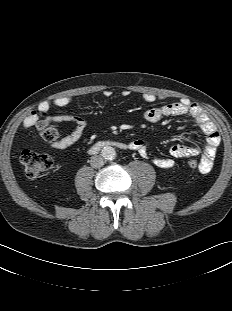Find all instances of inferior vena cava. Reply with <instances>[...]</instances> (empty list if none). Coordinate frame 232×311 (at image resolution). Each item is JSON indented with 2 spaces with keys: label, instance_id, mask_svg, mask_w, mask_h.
<instances>
[{
  "label": "inferior vena cava",
  "instance_id": "602c4592",
  "mask_svg": "<svg viewBox=\"0 0 232 311\" xmlns=\"http://www.w3.org/2000/svg\"><path fill=\"white\" fill-rule=\"evenodd\" d=\"M90 165L93 168H100L101 166L104 165L103 158L99 155L92 156L90 159Z\"/></svg>",
  "mask_w": 232,
  "mask_h": 311
}]
</instances>
